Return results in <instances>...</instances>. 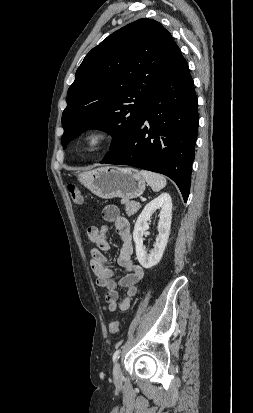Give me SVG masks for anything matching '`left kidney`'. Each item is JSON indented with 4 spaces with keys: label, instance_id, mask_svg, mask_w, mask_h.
I'll return each mask as SVG.
<instances>
[{
    "label": "left kidney",
    "instance_id": "left-kidney-1",
    "mask_svg": "<svg viewBox=\"0 0 253 413\" xmlns=\"http://www.w3.org/2000/svg\"><path fill=\"white\" fill-rule=\"evenodd\" d=\"M157 209H161L159 214L158 236L154 248L148 254L143 245V235L146 230L149 229L148 220ZM171 219L172 200L168 193H162L149 202L139 215L134 226L133 240L135 242L137 259L144 268H152L161 260L170 234Z\"/></svg>",
    "mask_w": 253,
    "mask_h": 413
}]
</instances>
